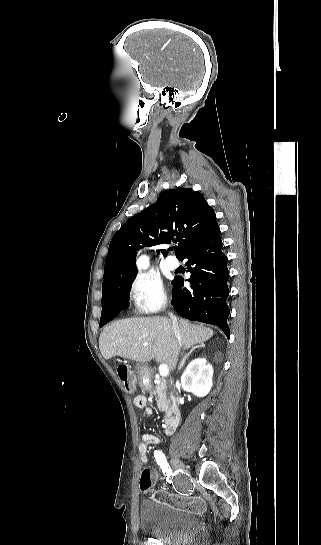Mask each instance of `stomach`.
<instances>
[{"label":"stomach","instance_id":"obj_1","mask_svg":"<svg viewBox=\"0 0 321 545\" xmlns=\"http://www.w3.org/2000/svg\"><path fill=\"white\" fill-rule=\"evenodd\" d=\"M136 373L138 377H144L146 369H148L147 363H136Z\"/></svg>","mask_w":321,"mask_h":545}]
</instances>
